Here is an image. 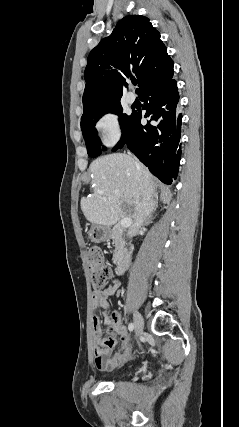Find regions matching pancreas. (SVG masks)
Masks as SVG:
<instances>
[{
    "label": "pancreas",
    "mask_w": 239,
    "mask_h": 427,
    "mask_svg": "<svg viewBox=\"0 0 239 427\" xmlns=\"http://www.w3.org/2000/svg\"><path fill=\"white\" fill-rule=\"evenodd\" d=\"M110 237L113 239V244L115 245L113 260L116 261L118 254L123 246V228L120 225H116L111 230Z\"/></svg>",
    "instance_id": "obj_1"
}]
</instances>
